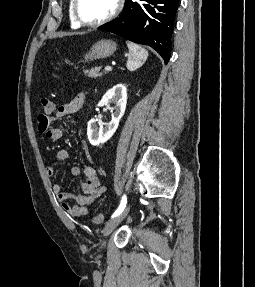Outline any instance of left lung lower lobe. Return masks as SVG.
<instances>
[{"instance_id":"obj_1","label":"left lung lower lobe","mask_w":255,"mask_h":287,"mask_svg":"<svg viewBox=\"0 0 255 287\" xmlns=\"http://www.w3.org/2000/svg\"><path fill=\"white\" fill-rule=\"evenodd\" d=\"M180 0H127L121 15L99 27L135 43L154 48L168 63L174 19Z\"/></svg>"}]
</instances>
